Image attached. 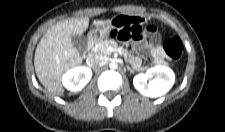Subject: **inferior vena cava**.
<instances>
[{
	"mask_svg": "<svg viewBox=\"0 0 225 132\" xmlns=\"http://www.w3.org/2000/svg\"><path fill=\"white\" fill-rule=\"evenodd\" d=\"M105 61L104 57L100 55L90 56L87 59V64L91 67H97Z\"/></svg>",
	"mask_w": 225,
	"mask_h": 132,
	"instance_id": "obj_1",
	"label": "inferior vena cava"
}]
</instances>
